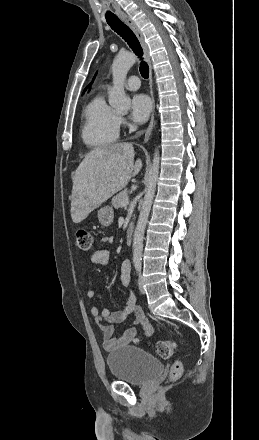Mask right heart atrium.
<instances>
[{
  "label": "right heart atrium",
  "mask_w": 259,
  "mask_h": 440,
  "mask_svg": "<svg viewBox=\"0 0 259 440\" xmlns=\"http://www.w3.org/2000/svg\"><path fill=\"white\" fill-rule=\"evenodd\" d=\"M117 122H118L119 127L125 126L127 124V122L123 116H118Z\"/></svg>",
  "instance_id": "obj_1"
}]
</instances>
